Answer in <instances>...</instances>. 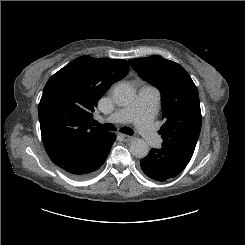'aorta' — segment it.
<instances>
[{
    "label": "aorta",
    "instance_id": "762f6f07",
    "mask_svg": "<svg viewBox=\"0 0 245 245\" xmlns=\"http://www.w3.org/2000/svg\"><path fill=\"white\" fill-rule=\"evenodd\" d=\"M135 91L132 86L121 83L114 87L113 89V99L116 104L120 106H125L131 103L134 99ZM130 152L136 158H144L149 153V146L143 140L136 138L130 144Z\"/></svg>",
    "mask_w": 245,
    "mask_h": 245
}]
</instances>
